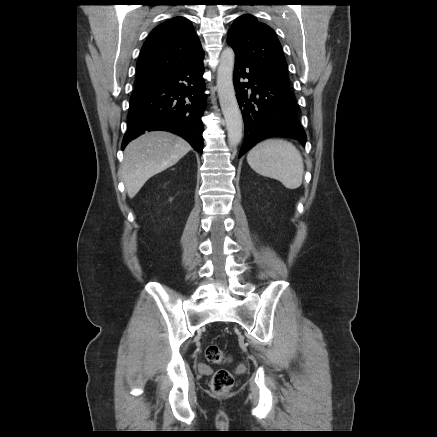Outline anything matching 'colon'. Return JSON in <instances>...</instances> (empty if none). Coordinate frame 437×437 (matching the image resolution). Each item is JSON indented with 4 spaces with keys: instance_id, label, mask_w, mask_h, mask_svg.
<instances>
[{
    "instance_id": "colon-1",
    "label": "colon",
    "mask_w": 437,
    "mask_h": 437,
    "mask_svg": "<svg viewBox=\"0 0 437 437\" xmlns=\"http://www.w3.org/2000/svg\"><path fill=\"white\" fill-rule=\"evenodd\" d=\"M205 357L212 364H225L230 358L217 345L210 344L205 349ZM234 385V376L226 369L217 370L211 381V388L217 394L228 393Z\"/></svg>"
}]
</instances>
